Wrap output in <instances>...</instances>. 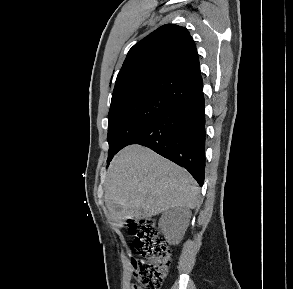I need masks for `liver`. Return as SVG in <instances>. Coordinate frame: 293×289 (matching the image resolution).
Returning a JSON list of instances; mask_svg holds the SVG:
<instances>
[{
  "label": "liver",
  "mask_w": 293,
  "mask_h": 289,
  "mask_svg": "<svg viewBox=\"0 0 293 289\" xmlns=\"http://www.w3.org/2000/svg\"><path fill=\"white\" fill-rule=\"evenodd\" d=\"M199 193L187 170L149 148L131 145L110 163L104 199L111 218L122 227L127 219L150 218L175 207L192 209Z\"/></svg>",
  "instance_id": "obj_1"
}]
</instances>
